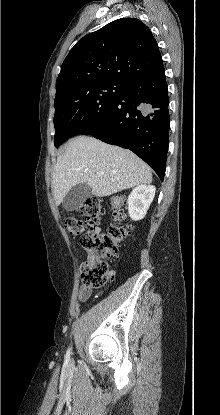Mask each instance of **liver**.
<instances>
[{
	"label": "liver",
	"mask_w": 220,
	"mask_h": 415,
	"mask_svg": "<svg viewBox=\"0 0 220 415\" xmlns=\"http://www.w3.org/2000/svg\"><path fill=\"white\" fill-rule=\"evenodd\" d=\"M151 182L150 167L131 151L80 136L57 157L52 183L59 205L69 190L81 183L88 185L93 195L105 197Z\"/></svg>",
	"instance_id": "liver-1"
}]
</instances>
